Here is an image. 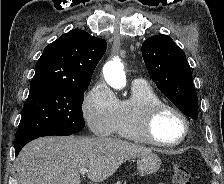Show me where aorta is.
<instances>
[{
  "mask_svg": "<svg viewBox=\"0 0 224 184\" xmlns=\"http://www.w3.org/2000/svg\"><path fill=\"white\" fill-rule=\"evenodd\" d=\"M103 75L106 82L115 89H121L126 85V76L123 65L118 60H112L105 64Z\"/></svg>",
  "mask_w": 224,
  "mask_h": 184,
  "instance_id": "aorta-1",
  "label": "aorta"
}]
</instances>
